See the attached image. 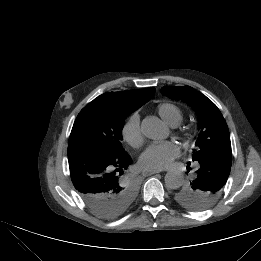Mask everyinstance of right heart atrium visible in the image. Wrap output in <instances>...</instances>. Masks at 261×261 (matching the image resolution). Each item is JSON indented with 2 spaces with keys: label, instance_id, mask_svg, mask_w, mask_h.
<instances>
[{
  "label": "right heart atrium",
  "instance_id": "obj_1",
  "mask_svg": "<svg viewBox=\"0 0 261 261\" xmlns=\"http://www.w3.org/2000/svg\"><path fill=\"white\" fill-rule=\"evenodd\" d=\"M122 137L132 147L137 148L143 143V134L138 113H132L122 126Z\"/></svg>",
  "mask_w": 261,
  "mask_h": 261
}]
</instances>
